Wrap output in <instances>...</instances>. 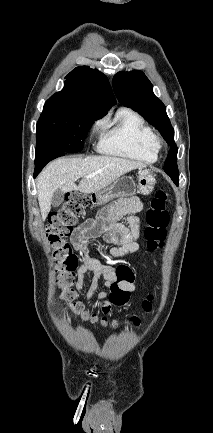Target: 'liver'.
<instances>
[{"instance_id":"obj_1","label":"liver","mask_w":213,"mask_h":433,"mask_svg":"<svg viewBox=\"0 0 213 433\" xmlns=\"http://www.w3.org/2000/svg\"><path fill=\"white\" fill-rule=\"evenodd\" d=\"M143 167L145 165L140 162L110 156L60 158L51 162L36 179L42 219L45 220L50 212L55 190L60 189L64 193L80 191L84 194L98 192L122 175ZM88 175L94 176L86 178ZM79 178L82 180L77 186L75 181Z\"/></svg>"}]
</instances>
